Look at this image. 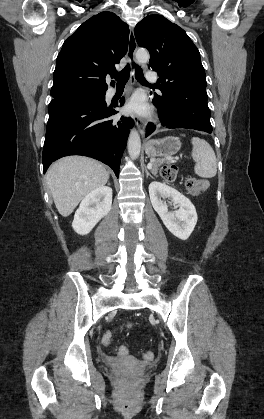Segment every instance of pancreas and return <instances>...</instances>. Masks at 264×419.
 <instances>
[{
    "instance_id": "pancreas-1",
    "label": "pancreas",
    "mask_w": 264,
    "mask_h": 419,
    "mask_svg": "<svg viewBox=\"0 0 264 419\" xmlns=\"http://www.w3.org/2000/svg\"><path fill=\"white\" fill-rule=\"evenodd\" d=\"M164 162H166V160H165V159L156 160V161L153 163V167H152V169H151L152 173L156 175V174H157V172H158V170H159V167H160V166H161Z\"/></svg>"
}]
</instances>
